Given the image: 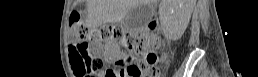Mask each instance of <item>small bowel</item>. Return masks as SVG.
<instances>
[{"label": "small bowel", "instance_id": "c3829d8e", "mask_svg": "<svg viewBox=\"0 0 258 77\" xmlns=\"http://www.w3.org/2000/svg\"><path fill=\"white\" fill-rule=\"evenodd\" d=\"M123 58V54L116 48L112 47L109 49L108 61L110 63H118ZM112 74L108 73L107 77H111Z\"/></svg>", "mask_w": 258, "mask_h": 77}]
</instances>
